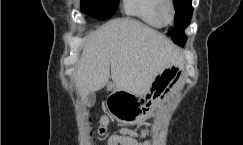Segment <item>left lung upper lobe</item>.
I'll return each mask as SVG.
<instances>
[{
	"mask_svg": "<svg viewBox=\"0 0 243 145\" xmlns=\"http://www.w3.org/2000/svg\"><path fill=\"white\" fill-rule=\"evenodd\" d=\"M192 0H174V8H175V22L174 27L170 36L173 41L180 46H183L186 42V36L184 34V29L187 27L186 23H190L193 7L191 6Z\"/></svg>",
	"mask_w": 243,
	"mask_h": 145,
	"instance_id": "left-lung-upper-lobe-1",
	"label": "left lung upper lobe"
}]
</instances>
